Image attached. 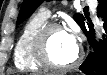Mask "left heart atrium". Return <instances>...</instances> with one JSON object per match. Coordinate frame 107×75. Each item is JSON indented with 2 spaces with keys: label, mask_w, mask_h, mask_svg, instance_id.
I'll list each match as a JSON object with an SVG mask.
<instances>
[{
  "label": "left heart atrium",
  "mask_w": 107,
  "mask_h": 75,
  "mask_svg": "<svg viewBox=\"0 0 107 75\" xmlns=\"http://www.w3.org/2000/svg\"><path fill=\"white\" fill-rule=\"evenodd\" d=\"M70 43L77 48L79 41V30L74 24H71L69 28L64 31Z\"/></svg>",
  "instance_id": "39dd6f15"
}]
</instances>
